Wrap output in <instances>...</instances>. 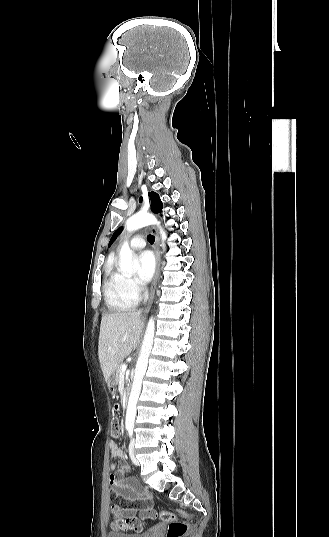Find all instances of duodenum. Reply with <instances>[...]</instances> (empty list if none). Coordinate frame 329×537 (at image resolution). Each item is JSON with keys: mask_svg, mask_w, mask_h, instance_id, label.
I'll list each match as a JSON object with an SVG mask.
<instances>
[{"mask_svg": "<svg viewBox=\"0 0 329 537\" xmlns=\"http://www.w3.org/2000/svg\"><path fill=\"white\" fill-rule=\"evenodd\" d=\"M128 396H129V393L127 392V393L125 394V397H124V401H125V403L128 401Z\"/></svg>", "mask_w": 329, "mask_h": 537, "instance_id": "410a0bca", "label": "duodenum"}]
</instances>
